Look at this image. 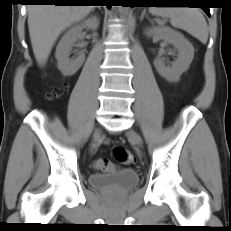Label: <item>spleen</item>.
<instances>
[{"label": "spleen", "mask_w": 231, "mask_h": 231, "mask_svg": "<svg viewBox=\"0 0 231 231\" xmlns=\"http://www.w3.org/2000/svg\"><path fill=\"white\" fill-rule=\"evenodd\" d=\"M149 11L159 17H167L173 27L182 29L205 44L208 39L207 22L197 8L151 7Z\"/></svg>", "instance_id": "obj_1"}]
</instances>
